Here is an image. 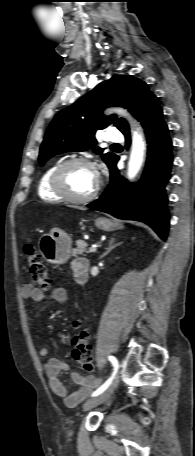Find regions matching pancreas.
Segmentation results:
<instances>
[{
	"label": "pancreas",
	"instance_id": "pancreas-1",
	"mask_svg": "<svg viewBox=\"0 0 195 456\" xmlns=\"http://www.w3.org/2000/svg\"><path fill=\"white\" fill-rule=\"evenodd\" d=\"M87 243L83 240H77L76 241V248L72 250V255L73 256H78V255H83L85 256L88 251H87Z\"/></svg>",
	"mask_w": 195,
	"mask_h": 456
}]
</instances>
